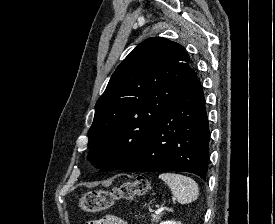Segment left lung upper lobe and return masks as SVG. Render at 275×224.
<instances>
[{"label": "left lung upper lobe", "instance_id": "obj_1", "mask_svg": "<svg viewBox=\"0 0 275 224\" xmlns=\"http://www.w3.org/2000/svg\"><path fill=\"white\" fill-rule=\"evenodd\" d=\"M184 48L162 37L140 43L119 64L95 105L88 159L122 170L138 156L153 126L196 75Z\"/></svg>", "mask_w": 275, "mask_h": 224}]
</instances>
